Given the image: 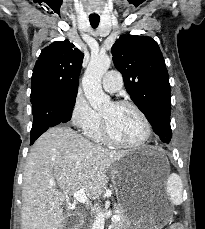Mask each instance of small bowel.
Wrapping results in <instances>:
<instances>
[{
	"instance_id": "obj_1",
	"label": "small bowel",
	"mask_w": 205,
	"mask_h": 229,
	"mask_svg": "<svg viewBox=\"0 0 205 229\" xmlns=\"http://www.w3.org/2000/svg\"><path fill=\"white\" fill-rule=\"evenodd\" d=\"M168 229H181V227L179 226V225H177V224H175V225H172L170 228H168Z\"/></svg>"
}]
</instances>
